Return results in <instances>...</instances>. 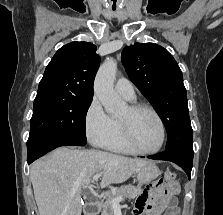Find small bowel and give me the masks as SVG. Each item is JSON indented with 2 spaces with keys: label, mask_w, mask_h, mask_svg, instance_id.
<instances>
[{
  "label": "small bowel",
  "mask_w": 223,
  "mask_h": 215,
  "mask_svg": "<svg viewBox=\"0 0 223 215\" xmlns=\"http://www.w3.org/2000/svg\"><path fill=\"white\" fill-rule=\"evenodd\" d=\"M180 190L179 183L176 181L165 182L162 179L156 180L146 186L142 193L137 197L134 206V215H178L176 207L175 195ZM158 203L160 206L154 208V204Z\"/></svg>",
  "instance_id": "c3829d8e"
}]
</instances>
